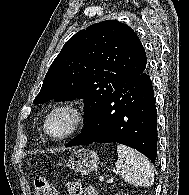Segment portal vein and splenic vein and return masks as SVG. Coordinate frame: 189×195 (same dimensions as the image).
Here are the masks:
<instances>
[{
  "label": "portal vein and splenic vein",
  "mask_w": 189,
  "mask_h": 195,
  "mask_svg": "<svg viewBox=\"0 0 189 195\" xmlns=\"http://www.w3.org/2000/svg\"><path fill=\"white\" fill-rule=\"evenodd\" d=\"M104 179H105L104 176H100V177H99V180H100V181H104Z\"/></svg>",
  "instance_id": "18ae733b"
}]
</instances>
